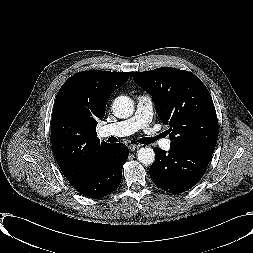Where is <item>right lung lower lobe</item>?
<instances>
[{
    "label": "right lung lower lobe",
    "instance_id": "obj_1",
    "mask_svg": "<svg viewBox=\"0 0 253 253\" xmlns=\"http://www.w3.org/2000/svg\"><path fill=\"white\" fill-rule=\"evenodd\" d=\"M128 154L126 145L108 144L87 167L82 179L72 186L81 194L94 199L110 194L120 185L122 166Z\"/></svg>",
    "mask_w": 253,
    "mask_h": 253
}]
</instances>
